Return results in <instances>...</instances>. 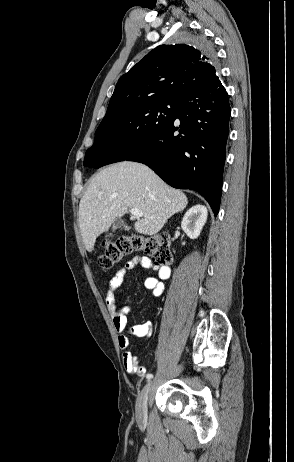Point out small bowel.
Wrapping results in <instances>:
<instances>
[{"mask_svg": "<svg viewBox=\"0 0 294 462\" xmlns=\"http://www.w3.org/2000/svg\"><path fill=\"white\" fill-rule=\"evenodd\" d=\"M153 269L157 272V277H149L145 280V287L151 290L153 296L159 297L164 292L163 281L170 276V268L167 265L153 264L148 257H135L120 268L109 280L105 295V303L111 315L115 331L118 335V345L123 351L122 361L127 373L136 374L140 377L146 375V368L140 359L129 350V336L148 338L152 335L153 327L149 321L142 322L127 329V316L130 312L128 305L118 308L116 292L122 286L127 272L136 267Z\"/></svg>", "mask_w": 294, "mask_h": 462, "instance_id": "obj_1", "label": "small bowel"}]
</instances>
